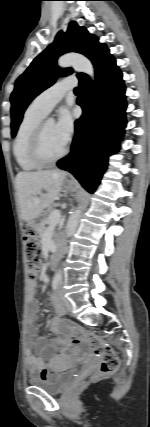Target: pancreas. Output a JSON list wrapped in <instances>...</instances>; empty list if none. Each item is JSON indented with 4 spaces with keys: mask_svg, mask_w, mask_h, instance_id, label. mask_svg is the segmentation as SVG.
<instances>
[{
    "mask_svg": "<svg viewBox=\"0 0 150 427\" xmlns=\"http://www.w3.org/2000/svg\"><path fill=\"white\" fill-rule=\"evenodd\" d=\"M51 212L52 211H50V214H51ZM49 216L47 218H45L41 222L40 226L38 227V234H39L40 238H42L44 236V234L50 229V228L45 227V225L50 224ZM56 238H57L56 235H53L54 241H57Z\"/></svg>",
    "mask_w": 150,
    "mask_h": 427,
    "instance_id": "obj_1",
    "label": "pancreas"
}]
</instances>
